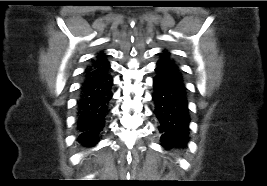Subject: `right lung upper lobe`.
<instances>
[{"instance_id":"right-lung-upper-lobe-1","label":"right lung upper lobe","mask_w":267,"mask_h":186,"mask_svg":"<svg viewBox=\"0 0 267 186\" xmlns=\"http://www.w3.org/2000/svg\"><path fill=\"white\" fill-rule=\"evenodd\" d=\"M106 55L103 52H100L95 59H92L91 64H97V63H101L103 61H106Z\"/></svg>"}]
</instances>
